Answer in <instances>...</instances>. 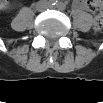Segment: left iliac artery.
Masks as SVG:
<instances>
[{
    "label": "left iliac artery",
    "mask_w": 103,
    "mask_h": 103,
    "mask_svg": "<svg viewBox=\"0 0 103 103\" xmlns=\"http://www.w3.org/2000/svg\"><path fill=\"white\" fill-rule=\"evenodd\" d=\"M57 7H58L60 10H65V9H66V5H65V3H63V2H58V3H57Z\"/></svg>",
    "instance_id": "1"
}]
</instances>
